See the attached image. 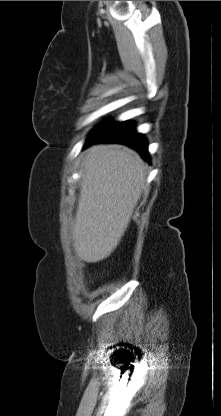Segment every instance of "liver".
<instances>
[{"label":"liver","instance_id":"1","mask_svg":"<svg viewBox=\"0 0 221 416\" xmlns=\"http://www.w3.org/2000/svg\"><path fill=\"white\" fill-rule=\"evenodd\" d=\"M146 186L144 161L134 150L116 144L90 148L82 166V182L72 237L77 256L96 263L119 244Z\"/></svg>","mask_w":221,"mask_h":416}]
</instances>
